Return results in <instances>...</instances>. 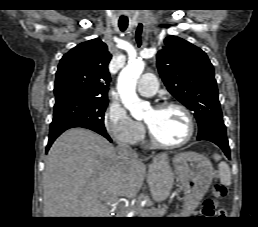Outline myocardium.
Masks as SVG:
<instances>
[{"label":"myocardium","mask_w":258,"mask_h":227,"mask_svg":"<svg viewBox=\"0 0 258 227\" xmlns=\"http://www.w3.org/2000/svg\"><path fill=\"white\" fill-rule=\"evenodd\" d=\"M166 108H177L185 115L187 122H188V133L185 136V138L179 142L166 143V142L159 140L158 137L152 131V129L147 125L150 141H151L152 145L157 148L173 149V148L181 147V146L187 144L194 136V133H195L194 117H193L192 113L190 112V110L185 105L178 103V102L164 101V102H161L154 106L155 110H162V109H166Z\"/></svg>","instance_id":"myocardium-1"}]
</instances>
